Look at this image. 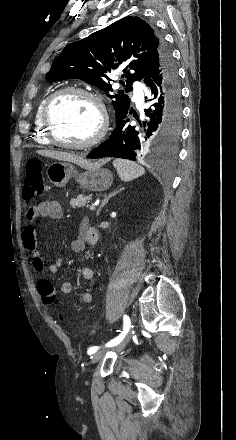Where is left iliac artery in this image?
I'll return each mask as SVG.
<instances>
[{
    "label": "left iliac artery",
    "instance_id": "1",
    "mask_svg": "<svg viewBox=\"0 0 236 440\" xmlns=\"http://www.w3.org/2000/svg\"><path fill=\"white\" fill-rule=\"evenodd\" d=\"M131 327V321L130 318L127 315L123 316V330L119 336L109 341L105 346L106 347H113L116 346L127 334L128 330ZM99 349L98 346L90 347L87 351L89 355L94 354Z\"/></svg>",
    "mask_w": 236,
    "mask_h": 440
}]
</instances>
